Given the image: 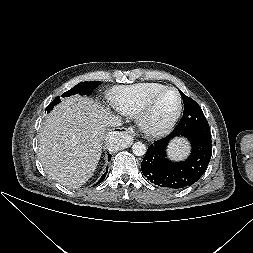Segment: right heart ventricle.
Here are the masks:
<instances>
[{
    "label": "right heart ventricle",
    "mask_w": 253,
    "mask_h": 253,
    "mask_svg": "<svg viewBox=\"0 0 253 253\" xmlns=\"http://www.w3.org/2000/svg\"><path fill=\"white\" fill-rule=\"evenodd\" d=\"M165 85L155 82L117 86L111 91L110 99L116 110L130 117H136L145 100Z\"/></svg>",
    "instance_id": "right-heart-ventricle-1"
}]
</instances>
